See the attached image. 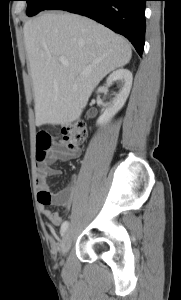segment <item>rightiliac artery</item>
<instances>
[{
  "instance_id": "82829eb1",
  "label": "right iliac artery",
  "mask_w": 181,
  "mask_h": 300,
  "mask_svg": "<svg viewBox=\"0 0 181 300\" xmlns=\"http://www.w3.org/2000/svg\"><path fill=\"white\" fill-rule=\"evenodd\" d=\"M68 226H69V222L68 221H64L63 224H62V226H61V230H60L61 234L65 233V231L67 230Z\"/></svg>"
}]
</instances>
